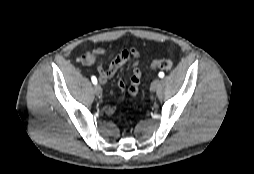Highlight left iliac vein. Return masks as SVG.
Segmentation results:
<instances>
[{
  "label": "left iliac vein",
  "instance_id": "obj_1",
  "mask_svg": "<svg viewBox=\"0 0 254 174\" xmlns=\"http://www.w3.org/2000/svg\"><path fill=\"white\" fill-rule=\"evenodd\" d=\"M160 86V81L158 79H155L151 84V90L156 91Z\"/></svg>",
  "mask_w": 254,
  "mask_h": 174
}]
</instances>
